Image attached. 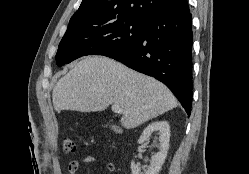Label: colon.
I'll return each mask as SVG.
<instances>
[{"mask_svg": "<svg viewBox=\"0 0 249 174\" xmlns=\"http://www.w3.org/2000/svg\"><path fill=\"white\" fill-rule=\"evenodd\" d=\"M61 143H62L63 150L66 153H74L75 152V150H76L75 143L70 136L63 135L61 138Z\"/></svg>", "mask_w": 249, "mask_h": 174, "instance_id": "1", "label": "colon"}]
</instances>
